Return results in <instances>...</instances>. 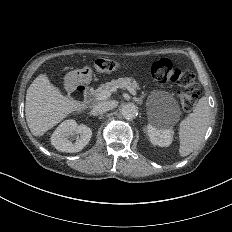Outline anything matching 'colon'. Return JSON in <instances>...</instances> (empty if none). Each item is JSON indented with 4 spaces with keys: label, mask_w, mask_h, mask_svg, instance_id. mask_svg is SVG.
I'll return each mask as SVG.
<instances>
[{
    "label": "colon",
    "mask_w": 232,
    "mask_h": 232,
    "mask_svg": "<svg viewBox=\"0 0 232 232\" xmlns=\"http://www.w3.org/2000/svg\"><path fill=\"white\" fill-rule=\"evenodd\" d=\"M118 62L114 59L105 60L98 58L91 66L96 73H116ZM151 75L155 78V82H177V86H185L183 94L179 98L180 102H184L181 111H194L195 102H199V97H194L198 86H193L197 82L195 74L186 69L175 68L174 63L169 59L156 58L151 63Z\"/></svg>",
    "instance_id": "5ec220e1"
}]
</instances>
